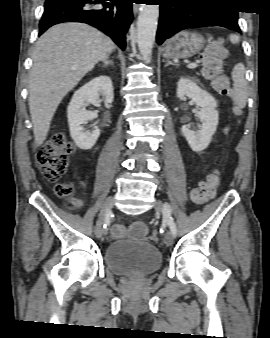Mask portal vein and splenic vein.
I'll return each instance as SVG.
<instances>
[{"label":"portal vein and splenic vein","instance_id":"obj_1","mask_svg":"<svg viewBox=\"0 0 270 338\" xmlns=\"http://www.w3.org/2000/svg\"><path fill=\"white\" fill-rule=\"evenodd\" d=\"M198 66V63L197 62H191V63H189L188 64V68H190V69H193V68H196Z\"/></svg>","mask_w":270,"mask_h":338}]
</instances>
